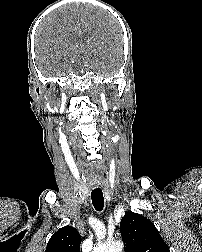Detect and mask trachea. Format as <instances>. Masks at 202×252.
<instances>
[{"mask_svg": "<svg viewBox=\"0 0 202 252\" xmlns=\"http://www.w3.org/2000/svg\"><path fill=\"white\" fill-rule=\"evenodd\" d=\"M92 204L97 211H102L104 207V197L102 190L96 188L91 193Z\"/></svg>", "mask_w": 202, "mask_h": 252, "instance_id": "obj_1", "label": "trachea"}]
</instances>
